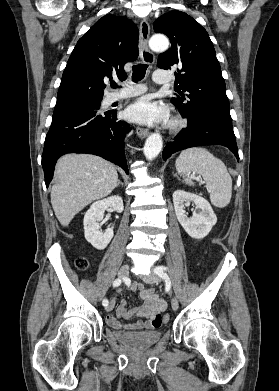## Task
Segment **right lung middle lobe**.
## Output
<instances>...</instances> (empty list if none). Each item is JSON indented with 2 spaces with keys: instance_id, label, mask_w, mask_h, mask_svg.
<instances>
[{
  "instance_id": "1",
  "label": "right lung middle lobe",
  "mask_w": 279,
  "mask_h": 391,
  "mask_svg": "<svg viewBox=\"0 0 279 391\" xmlns=\"http://www.w3.org/2000/svg\"><path fill=\"white\" fill-rule=\"evenodd\" d=\"M100 101H95V102H85V103H80L77 105H73L64 109L60 110H54V113L56 112H61V111H67V110H76V109H99L100 108Z\"/></svg>"
}]
</instances>
